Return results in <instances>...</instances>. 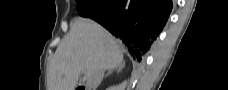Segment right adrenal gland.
<instances>
[{"label": "right adrenal gland", "instance_id": "2a0ac1e0", "mask_svg": "<svg viewBox=\"0 0 228 90\" xmlns=\"http://www.w3.org/2000/svg\"><path fill=\"white\" fill-rule=\"evenodd\" d=\"M123 67H124V63H123L122 65H120L116 70H118V72H120V71L122 70ZM113 71H114L113 69L109 70V71L107 72V74L105 75V78H106L107 76H109Z\"/></svg>", "mask_w": 228, "mask_h": 90}]
</instances>
